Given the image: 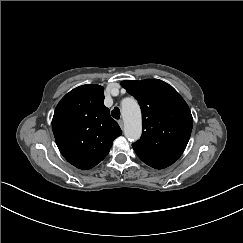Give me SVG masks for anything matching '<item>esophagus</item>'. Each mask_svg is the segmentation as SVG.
I'll return each instance as SVG.
<instances>
[{"label": "esophagus", "mask_w": 243, "mask_h": 243, "mask_svg": "<svg viewBox=\"0 0 243 243\" xmlns=\"http://www.w3.org/2000/svg\"><path fill=\"white\" fill-rule=\"evenodd\" d=\"M118 124H119V126L121 127V129H123V126H124L123 121H122V120H119V121H118Z\"/></svg>", "instance_id": "1"}]
</instances>
